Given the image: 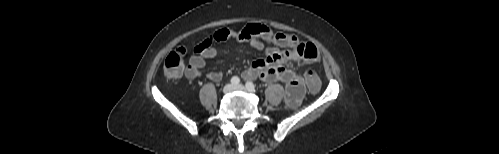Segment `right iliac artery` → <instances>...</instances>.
<instances>
[{
	"label": "right iliac artery",
	"mask_w": 499,
	"mask_h": 154,
	"mask_svg": "<svg viewBox=\"0 0 499 154\" xmlns=\"http://www.w3.org/2000/svg\"><path fill=\"white\" fill-rule=\"evenodd\" d=\"M239 82H240V79L237 76H234L231 78L232 84L237 85V84H239Z\"/></svg>",
	"instance_id": "1"
}]
</instances>
